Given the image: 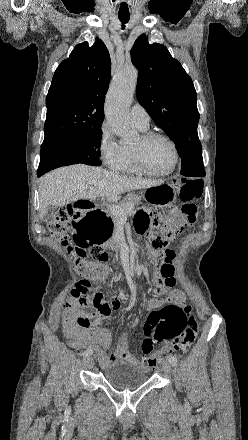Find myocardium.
I'll use <instances>...</instances> for the list:
<instances>
[{
  "mask_svg": "<svg viewBox=\"0 0 248 440\" xmlns=\"http://www.w3.org/2000/svg\"><path fill=\"white\" fill-rule=\"evenodd\" d=\"M156 138H162V139L166 140L171 145L172 150H173V154H174L173 164H172L171 168L165 172L151 171L145 163V159H144L145 147L150 141H152L153 139H156ZM132 152H133L134 165H135L137 171L141 174H144V175H147L150 177L169 176L170 174H172L176 170L178 163H179V159H180V154H179V150H178L176 142L169 135L162 133V132H157V131L143 132L140 135L138 142L132 146Z\"/></svg>",
  "mask_w": 248,
  "mask_h": 440,
  "instance_id": "obj_1",
  "label": "myocardium"
}]
</instances>
